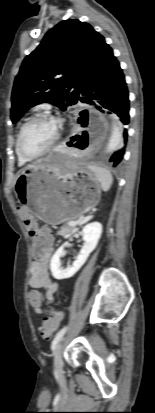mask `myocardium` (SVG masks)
Returning <instances> with one entry per match:
<instances>
[{
  "mask_svg": "<svg viewBox=\"0 0 155 413\" xmlns=\"http://www.w3.org/2000/svg\"><path fill=\"white\" fill-rule=\"evenodd\" d=\"M39 120H53L52 117H50L48 114L46 113H39L36 114L34 116H32L31 118H29L20 128L19 133H18V137H17V147H18V151L20 153V155L28 160H32V159H36L39 158L45 154H47L48 152H50L56 145L58 139H59V130L57 128L56 130V134L55 137L53 138V140L51 141V143L44 148L43 150L37 152V153H30L28 151H26L23 147V136L25 133V130L28 128V126H30L32 123L39 121Z\"/></svg>",
  "mask_w": 155,
  "mask_h": 413,
  "instance_id": "1",
  "label": "myocardium"
}]
</instances>
